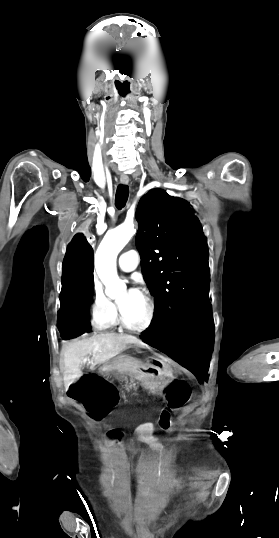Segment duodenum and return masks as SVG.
<instances>
[{"instance_id": "1", "label": "duodenum", "mask_w": 279, "mask_h": 538, "mask_svg": "<svg viewBox=\"0 0 279 538\" xmlns=\"http://www.w3.org/2000/svg\"><path fill=\"white\" fill-rule=\"evenodd\" d=\"M150 366L148 364L131 365H101V370H104L109 373H115V370H119L121 374H134V381L136 383H141L147 391L152 389V386H158V381H155V378L158 376L156 371H149ZM137 370V372H136ZM93 376H96V373H93Z\"/></svg>"}]
</instances>
